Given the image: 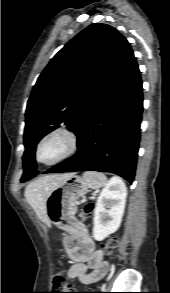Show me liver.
Wrapping results in <instances>:
<instances>
[{
    "label": "liver",
    "mask_w": 170,
    "mask_h": 293,
    "mask_svg": "<svg viewBox=\"0 0 170 293\" xmlns=\"http://www.w3.org/2000/svg\"><path fill=\"white\" fill-rule=\"evenodd\" d=\"M69 174H51L31 182L25 189V198L36 212L38 218L49 226L46 201L50 191Z\"/></svg>",
    "instance_id": "6515ba94"
}]
</instances>
